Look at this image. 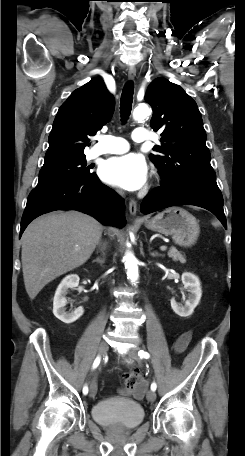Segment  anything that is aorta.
<instances>
[{
	"label": "aorta",
	"mask_w": 245,
	"mask_h": 456,
	"mask_svg": "<svg viewBox=\"0 0 245 456\" xmlns=\"http://www.w3.org/2000/svg\"><path fill=\"white\" fill-rule=\"evenodd\" d=\"M151 114V109L147 104H139L133 111V118L135 120H143ZM124 265L127 270V277L131 282L135 283L138 280V265L137 259L131 251H126L124 256Z\"/></svg>",
	"instance_id": "aorta-1"
}]
</instances>
